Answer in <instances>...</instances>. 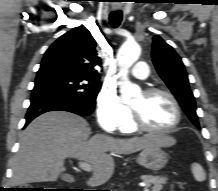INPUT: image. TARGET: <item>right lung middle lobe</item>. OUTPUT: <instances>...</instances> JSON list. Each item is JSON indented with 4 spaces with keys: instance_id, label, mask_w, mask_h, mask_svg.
Returning <instances> with one entry per match:
<instances>
[{
    "instance_id": "right-lung-middle-lobe-1",
    "label": "right lung middle lobe",
    "mask_w": 218,
    "mask_h": 191,
    "mask_svg": "<svg viewBox=\"0 0 218 191\" xmlns=\"http://www.w3.org/2000/svg\"><path fill=\"white\" fill-rule=\"evenodd\" d=\"M99 82L54 60H42L33 93L55 91L83 103L95 105Z\"/></svg>"
}]
</instances>
